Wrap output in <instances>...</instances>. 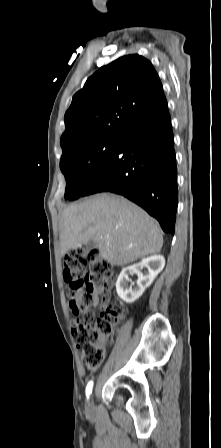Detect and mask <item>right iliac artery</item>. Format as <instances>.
I'll return each instance as SVG.
<instances>
[{"label":"right iliac artery","instance_id":"82829eb1","mask_svg":"<svg viewBox=\"0 0 221 448\" xmlns=\"http://www.w3.org/2000/svg\"><path fill=\"white\" fill-rule=\"evenodd\" d=\"M93 381H90L86 387V396L89 398V395L92 393Z\"/></svg>","mask_w":221,"mask_h":448}]
</instances>
